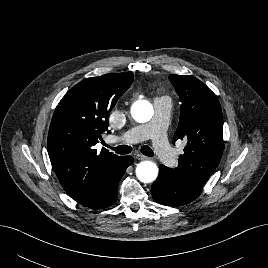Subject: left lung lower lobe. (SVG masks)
Here are the masks:
<instances>
[{
    "label": "left lung lower lobe",
    "mask_w": 268,
    "mask_h": 268,
    "mask_svg": "<svg viewBox=\"0 0 268 268\" xmlns=\"http://www.w3.org/2000/svg\"><path fill=\"white\" fill-rule=\"evenodd\" d=\"M153 199L162 205L181 206L194 201L201 192L175 181L165 166L160 165L159 175L151 187Z\"/></svg>",
    "instance_id": "left-lung-lower-lobe-1"
}]
</instances>
